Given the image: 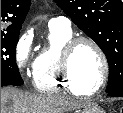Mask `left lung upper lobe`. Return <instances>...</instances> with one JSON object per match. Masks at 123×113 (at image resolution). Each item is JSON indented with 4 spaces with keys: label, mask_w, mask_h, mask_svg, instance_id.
Returning a JSON list of instances; mask_svg holds the SVG:
<instances>
[{
    "label": "left lung upper lobe",
    "mask_w": 123,
    "mask_h": 113,
    "mask_svg": "<svg viewBox=\"0 0 123 113\" xmlns=\"http://www.w3.org/2000/svg\"><path fill=\"white\" fill-rule=\"evenodd\" d=\"M105 53L109 96L123 97V3L121 0H54Z\"/></svg>",
    "instance_id": "left-lung-upper-lobe-1"
}]
</instances>
